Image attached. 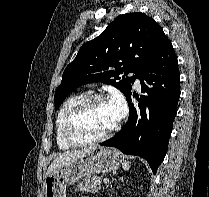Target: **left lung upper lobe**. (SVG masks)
Segmentation results:
<instances>
[{
  "mask_svg": "<svg viewBox=\"0 0 209 197\" xmlns=\"http://www.w3.org/2000/svg\"><path fill=\"white\" fill-rule=\"evenodd\" d=\"M166 39L159 24L147 15H119L98 37L85 43L66 67L55 92V109L73 90L94 81L115 86L127 98L131 84ZM131 72L135 75L125 77Z\"/></svg>",
  "mask_w": 209,
  "mask_h": 197,
  "instance_id": "5c2ea615",
  "label": "left lung upper lobe"
}]
</instances>
